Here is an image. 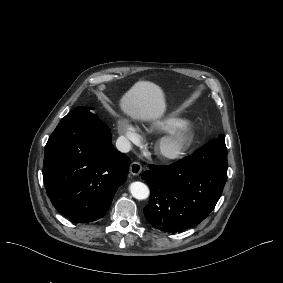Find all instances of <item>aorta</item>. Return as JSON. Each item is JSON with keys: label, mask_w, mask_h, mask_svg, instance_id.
<instances>
[{"label": "aorta", "mask_w": 283, "mask_h": 283, "mask_svg": "<svg viewBox=\"0 0 283 283\" xmlns=\"http://www.w3.org/2000/svg\"><path fill=\"white\" fill-rule=\"evenodd\" d=\"M129 189L132 196L138 200H144L148 198L150 194L148 186L139 181L131 183Z\"/></svg>", "instance_id": "aorta-1"}]
</instances>
